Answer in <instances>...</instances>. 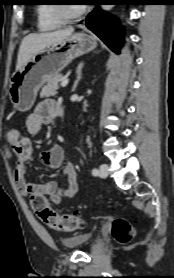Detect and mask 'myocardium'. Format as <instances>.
I'll list each match as a JSON object with an SVG mask.
<instances>
[{
  "label": "myocardium",
  "mask_w": 174,
  "mask_h": 278,
  "mask_svg": "<svg viewBox=\"0 0 174 278\" xmlns=\"http://www.w3.org/2000/svg\"><path fill=\"white\" fill-rule=\"evenodd\" d=\"M86 12V8L82 7L77 11H72L68 5L57 4L54 8V13L56 17L62 22H70L75 19L80 18Z\"/></svg>",
  "instance_id": "1"
}]
</instances>
